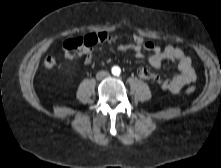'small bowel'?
<instances>
[{
    "label": "small bowel",
    "mask_w": 221,
    "mask_h": 168,
    "mask_svg": "<svg viewBox=\"0 0 221 168\" xmlns=\"http://www.w3.org/2000/svg\"><path fill=\"white\" fill-rule=\"evenodd\" d=\"M117 50L121 52L133 51L139 58L144 56V52H148L150 53L148 57L149 64L155 69H159L165 61L175 63L178 68V74L168 79H162L144 67L137 69V75L140 78L155 81L162 89L169 92L177 93L184 86L196 80V73L191 58L179 48L172 46L161 48L153 42L147 41L145 46H137L132 43L120 44L117 46ZM91 61L92 57L89 54L85 58V63L90 64Z\"/></svg>",
    "instance_id": "obj_1"
}]
</instances>
